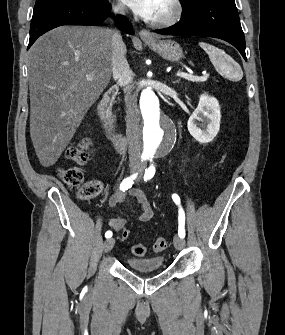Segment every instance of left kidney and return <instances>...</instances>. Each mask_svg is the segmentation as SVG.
<instances>
[{"mask_svg":"<svg viewBox=\"0 0 285 335\" xmlns=\"http://www.w3.org/2000/svg\"><path fill=\"white\" fill-rule=\"evenodd\" d=\"M220 120L221 112L218 100L211 98L208 94H202L196 110L188 120V132L200 144H209L220 130Z\"/></svg>","mask_w":285,"mask_h":335,"instance_id":"1","label":"left kidney"}]
</instances>
